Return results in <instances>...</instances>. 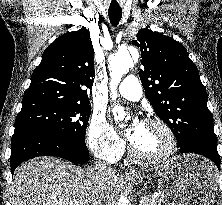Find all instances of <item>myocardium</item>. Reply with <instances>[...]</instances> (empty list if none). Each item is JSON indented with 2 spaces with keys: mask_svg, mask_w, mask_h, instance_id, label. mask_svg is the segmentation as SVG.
Here are the masks:
<instances>
[{
  "mask_svg": "<svg viewBox=\"0 0 222 205\" xmlns=\"http://www.w3.org/2000/svg\"><path fill=\"white\" fill-rule=\"evenodd\" d=\"M143 122L148 123V124L157 125L164 131V133L166 134L167 139H168L167 147L163 153H161L155 157H142L135 151L132 144H130L129 148H128V155H129L130 159H132L134 162H136L138 164L148 165V166L164 163L175 152L176 137H175L173 130L165 121H163L159 118L149 117V118H146Z\"/></svg>",
  "mask_w": 222,
  "mask_h": 205,
  "instance_id": "1",
  "label": "myocardium"
}]
</instances>
